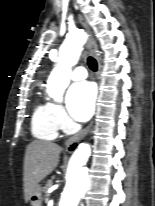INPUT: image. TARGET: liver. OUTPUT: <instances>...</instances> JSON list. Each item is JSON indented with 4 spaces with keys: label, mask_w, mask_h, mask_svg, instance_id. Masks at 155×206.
Instances as JSON below:
<instances>
[{
    "label": "liver",
    "mask_w": 155,
    "mask_h": 206,
    "mask_svg": "<svg viewBox=\"0 0 155 206\" xmlns=\"http://www.w3.org/2000/svg\"><path fill=\"white\" fill-rule=\"evenodd\" d=\"M62 148L52 142L33 141L25 152L24 197L29 201L39 182L57 167Z\"/></svg>",
    "instance_id": "6515ba94"
}]
</instances>
